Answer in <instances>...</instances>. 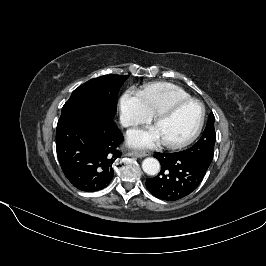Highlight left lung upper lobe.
<instances>
[{
    "instance_id": "1",
    "label": "left lung upper lobe",
    "mask_w": 266,
    "mask_h": 266,
    "mask_svg": "<svg viewBox=\"0 0 266 266\" xmlns=\"http://www.w3.org/2000/svg\"><path fill=\"white\" fill-rule=\"evenodd\" d=\"M214 119V115L211 113L207 126L199 141L191 148L180 152L184 157L195 161L205 169H208L214 154V144L216 140Z\"/></svg>"
}]
</instances>
